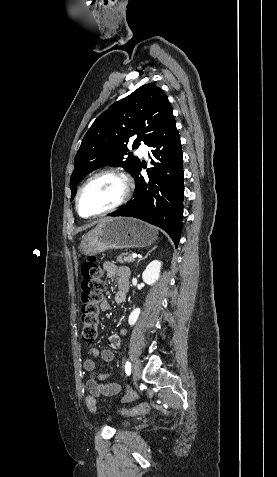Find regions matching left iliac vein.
I'll use <instances>...</instances> for the list:
<instances>
[{
  "instance_id": "obj_1",
  "label": "left iliac vein",
  "mask_w": 277,
  "mask_h": 477,
  "mask_svg": "<svg viewBox=\"0 0 277 477\" xmlns=\"http://www.w3.org/2000/svg\"><path fill=\"white\" fill-rule=\"evenodd\" d=\"M140 374H141V362H140L139 359H137L134 362V366H133V380H134V382H137L139 380Z\"/></svg>"
}]
</instances>
